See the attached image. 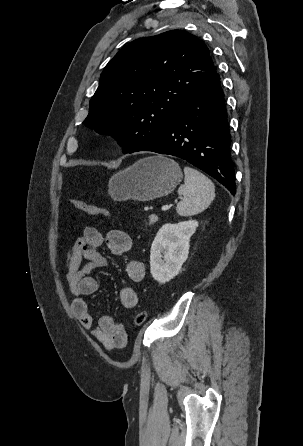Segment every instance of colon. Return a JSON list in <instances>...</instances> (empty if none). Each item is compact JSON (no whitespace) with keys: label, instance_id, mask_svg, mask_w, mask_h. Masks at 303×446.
I'll use <instances>...</instances> for the list:
<instances>
[{"label":"colon","instance_id":"5ec220e1","mask_svg":"<svg viewBox=\"0 0 303 446\" xmlns=\"http://www.w3.org/2000/svg\"><path fill=\"white\" fill-rule=\"evenodd\" d=\"M71 203L73 204V206L75 208H77L78 210H80L86 214H89L92 216L105 217V218H107L109 216V213L106 209L96 206L94 204H91L89 202H86L84 200L72 199ZM146 319H147V312L140 311L136 314L134 323L136 326H141L145 323Z\"/></svg>","mask_w":303,"mask_h":446}]
</instances>
